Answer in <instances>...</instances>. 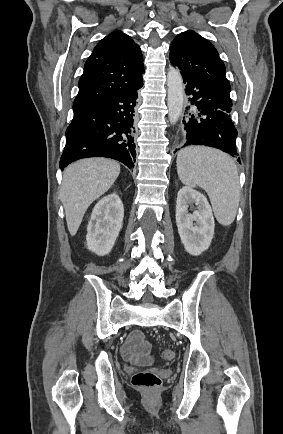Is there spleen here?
<instances>
[{"label":"spleen","instance_id":"1","mask_svg":"<svg viewBox=\"0 0 283 434\" xmlns=\"http://www.w3.org/2000/svg\"><path fill=\"white\" fill-rule=\"evenodd\" d=\"M177 173L186 186H199L207 192L220 224L233 223L240 186L237 167L231 157L212 148L187 147L178 153Z\"/></svg>","mask_w":283,"mask_h":434}]
</instances>
